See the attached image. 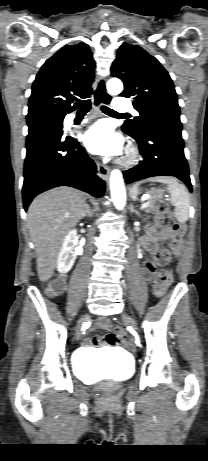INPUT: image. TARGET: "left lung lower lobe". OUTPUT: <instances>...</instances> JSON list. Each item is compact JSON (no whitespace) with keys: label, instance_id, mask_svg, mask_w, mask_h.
Returning a JSON list of instances; mask_svg holds the SVG:
<instances>
[{"label":"left lung lower lobe","instance_id":"0a47b994","mask_svg":"<svg viewBox=\"0 0 208 461\" xmlns=\"http://www.w3.org/2000/svg\"><path fill=\"white\" fill-rule=\"evenodd\" d=\"M181 132V122L159 120L148 125L139 135H130L139 144L142 161L123 172L125 182L132 183L154 176H174L192 190Z\"/></svg>","mask_w":208,"mask_h":461}]
</instances>
